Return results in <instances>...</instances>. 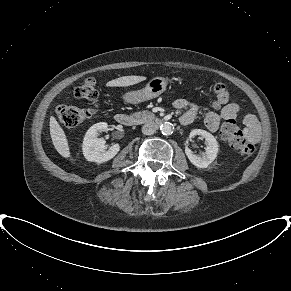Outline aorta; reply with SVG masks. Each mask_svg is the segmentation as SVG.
<instances>
[{
    "label": "aorta",
    "instance_id": "obj_1",
    "mask_svg": "<svg viewBox=\"0 0 291 291\" xmlns=\"http://www.w3.org/2000/svg\"><path fill=\"white\" fill-rule=\"evenodd\" d=\"M173 125L169 122H164L160 125V131L163 135H171L173 133Z\"/></svg>",
    "mask_w": 291,
    "mask_h": 291
}]
</instances>
